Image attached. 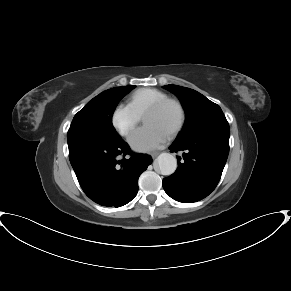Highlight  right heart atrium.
<instances>
[{
    "mask_svg": "<svg viewBox=\"0 0 291 291\" xmlns=\"http://www.w3.org/2000/svg\"><path fill=\"white\" fill-rule=\"evenodd\" d=\"M141 120L130 104H118L112 114V124L122 136H129Z\"/></svg>",
    "mask_w": 291,
    "mask_h": 291,
    "instance_id": "1",
    "label": "right heart atrium"
}]
</instances>
